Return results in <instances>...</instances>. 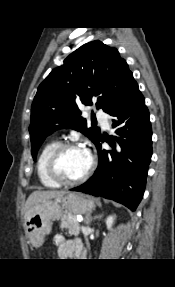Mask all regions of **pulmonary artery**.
<instances>
[{"label": "pulmonary artery", "instance_id": "obj_1", "mask_svg": "<svg viewBox=\"0 0 175 287\" xmlns=\"http://www.w3.org/2000/svg\"><path fill=\"white\" fill-rule=\"evenodd\" d=\"M98 117H99L100 121L102 122V125L105 128H108L109 127V120H108V118L101 111L98 112Z\"/></svg>", "mask_w": 175, "mask_h": 287}]
</instances>
